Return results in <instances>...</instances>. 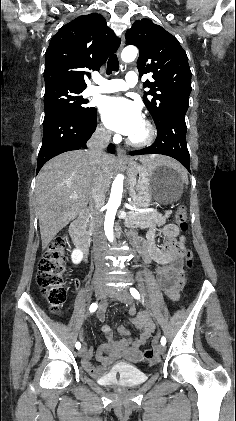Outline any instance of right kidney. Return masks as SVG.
<instances>
[{
    "label": "right kidney",
    "instance_id": "1",
    "mask_svg": "<svg viewBox=\"0 0 236 421\" xmlns=\"http://www.w3.org/2000/svg\"><path fill=\"white\" fill-rule=\"evenodd\" d=\"M72 263L74 265H79L83 259V253L80 251V249H74L72 255H71Z\"/></svg>",
    "mask_w": 236,
    "mask_h": 421
}]
</instances>
